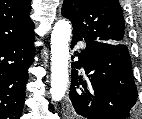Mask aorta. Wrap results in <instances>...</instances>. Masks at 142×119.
I'll return each mask as SVG.
<instances>
[{
    "instance_id": "obj_1",
    "label": "aorta",
    "mask_w": 142,
    "mask_h": 119,
    "mask_svg": "<svg viewBox=\"0 0 142 119\" xmlns=\"http://www.w3.org/2000/svg\"><path fill=\"white\" fill-rule=\"evenodd\" d=\"M71 25L65 20H58L51 34V96L60 101L67 90L68 58Z\"/></svg>"
}]
</instances>
